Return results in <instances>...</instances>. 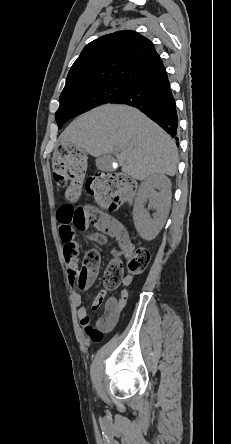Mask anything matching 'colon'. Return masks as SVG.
Returning <instances> with one entry per match:
<instances>
[{
	"mask_svg": "<svg viewBox=\"0 0 231 444\" xmlns=\"http://www.w3.org/2000/svg\"><path fill=\"white\" fill-rule=\"evenodd\" d=\"M52 171L56 183L66 188V196L70 200L78 198L86 171L84 153L71 145L61 144L52 157ZM89 193L94 195L99 206L106 211H114L125 202L130 201L136 191V183L121 173L98 174L85 183ZM101 216L96 209L75 208L69 206L62 218L63 222L74 229L84 231L93 226ZM65 253L67 263L74 260L76 253L69 250ZM150 252L145 248L123 247L107 266L104 273V285L109 290L118 288L123 280L124 271L131 275L141 274L150 262ZM100 263L99 252L90 249L86 252L82 268L77 275V288L86 289L97 274Z\"/></svg>",
	"mask_w": 231,
	"mask_h": 444,
	"instance_id": "5ec220e1",
	"label": "colon"
}]
</instances>
